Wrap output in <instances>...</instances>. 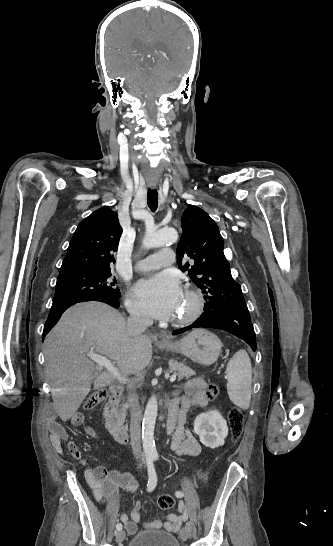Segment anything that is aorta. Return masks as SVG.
Returning a JSON list of instances; mask_svg holds the SVG:
<instances>
[{
    "label": "aorta",
    "instance_id": "obj_1",
    "mask_svg": "<svg viewBox=\"0 0 333 546\" xmlns=\"http://www.w3.org/2000/svg\"><path fill=\"white\" fill-rule=\"evenodd\" d=\"M178 234L173 229L149 230L146 232L143 246L145 248H156L168 243L177 241ZM158 411V402L156 396H152L145 408L142 424V443L146 455H155L157 453L154 441V429Z\"/></svg>",
    "mask_w": 333,
    "mask_h": 546
}]
</instances>
